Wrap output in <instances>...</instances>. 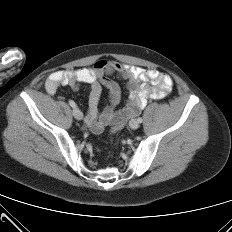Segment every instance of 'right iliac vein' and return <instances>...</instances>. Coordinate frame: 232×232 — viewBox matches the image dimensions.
I'll return each instance as SVG.
<instances>
[{
    "label": "right iliac vein",
    "mask_w": 232,
    "mask_h": 232,
    "mask_svg": "<svg viewBox=\"0 0 232 232\" xmlns=\"http://www.w3.org/2000/svg\"><path fill=\"white\" fill-rule=\"evenodd\" d=\"M73 116H74L77 120L83 119V113H82L78 108H74V109H73Z\"/></svg>",
    "instance_id": "right-iliac-vein-1"
}]
</instances>
